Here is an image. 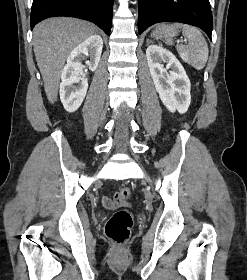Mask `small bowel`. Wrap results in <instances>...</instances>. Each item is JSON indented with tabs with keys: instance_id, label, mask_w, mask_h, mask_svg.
I'll list each match as a JSON object with an SVG mask.
<instances>
[{
	"instance_id": "c3829d8e",
	"label": "small bowel",
	"mask_w": 247,
	"mask_h": 280,
	"mask_svg": "<svg viewBox=\"0 0 247 280\" xmlns=\"http://www.w3.org/2000/svg\"><path fill=\"white\" fill-rule=\"evenodd\" d=\"M102 202L105 207L110 208V209L122 204V203L116 201L115 194L103 197Z\"/></svg>"
}]
</instances>
